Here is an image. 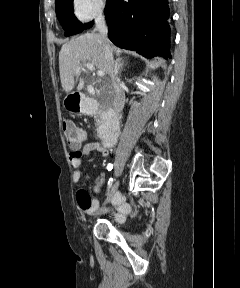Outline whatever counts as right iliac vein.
I'll return each instance as SVG.
<instances>
[{"label":"right iliac vein","instance_id":"obj_1","mask_svg":"<svg viewBox=\"0 0 240 288\" xmlns=\"http://www.w3.org/2000/svg\"><path fill=\"white\" fill-rule=\"evenodd\" d=\"M119 186V181H116L112 186L111 189L109 190L108 194H107V198L105 199L102 208L111 200V198L113 197V195L115 194V192L117 191Z\"/></svg>","mask_w":240,"mask_h":288}]
</instances>
